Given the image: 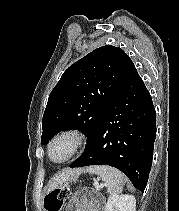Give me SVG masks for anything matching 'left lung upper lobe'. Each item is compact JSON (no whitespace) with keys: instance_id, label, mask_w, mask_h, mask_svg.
Wrapping results in <instances>:
<instances>
[{"instance_id":"obj_1","label":"left lung upper lobe","mask_w":179,"mask_h":211,"mask_svg":"<svg viewBox=\"0 0 179 211\" xmlns=\"http://www.w3.org/2000/svg\"><path fill=\"white\" fill-rule=\"evenodd\" d=\"M132 66L122 49L110 45L72 64L49 95L41 143L46 145L61 130L78 128L87 135L88 146Z\"/></svg>"}]
</instances>
